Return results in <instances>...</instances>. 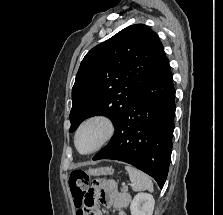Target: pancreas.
<instances>
[{"instance_id": "pancreas-1", "label": "pancreas", "mask_w": 223, "mask_h": 215, "mask_svg": "<svg viewBox=\"0 0 223 215\" xmlns=\"http://www.w3.org/2000/svg\"><path fill=\"white\" fill-rule=\"evenodd\" d=\"M121 191H127V187H121Z\"/></svg>"}]
</instances>
